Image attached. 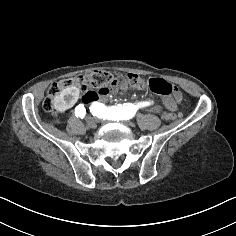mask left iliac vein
<instances>
[{"mask_svg":"<svg viewBox=\"0 0 236 236\" xmlns=\"http://www.w3.org/2000/svg\"><path fill=\"white\" fill-rule=\"evenodd\" d=\"M102 122H103V123H104V122H106V123H107V122H109V123L111 122V123H113V124H114V123H116V124H117V123H118V124L123 123V124H125V125H127V126H130V127H133V126H134V123H133L132 121H128V120H125V121L120 120V121H118V122H117V121L114 122V121H112V120H111V121H110V120H109V121H107V120L104 121V120H103Z\"/></svg>","mask_w":236,"mask_h":236,"instance_id":"left-iliac-vein-1","label":"left iliac vein"}]
</instances>
